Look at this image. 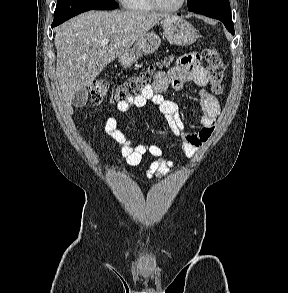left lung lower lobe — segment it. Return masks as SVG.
Here are the masks:
<instances>
[{
    "mask_svg": "<svg viewBox=\"0 0 288 293\" xmlns=\"http://www.w3.org/2000/svg\"><path fill=\"white\" fill-rule=\"evenodd\" d=\"M220 21L225 25V27L228 29V31L231 34H234V27H233V22L232 21L231 22L230 21H225V20H220Z\"/></svg>",
    "mask_w": 288,
    "mask_h": 293,
    "instance_id": "obj_1",
    "label": "left lung lower lobe"
}]
</instances>
